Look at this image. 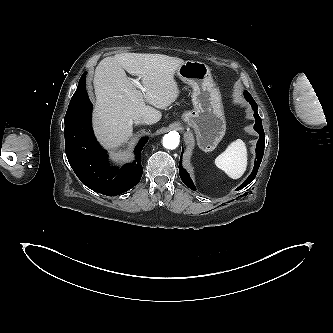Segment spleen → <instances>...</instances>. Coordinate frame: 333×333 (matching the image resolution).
<instances>
[{
	"mask_svg": "<svg viewBox=\"0 0 333 333\" xmlns=\"http://www.w3.org/2000/svg\"><path fill=\"white\" fill-rule=\"evenodd\" d=\"M215 164L230 178H240L247 167V149L245 143L241 139L230 143L226 149L216 157Z\"/></svg>",
	"mask_w": 333,
	"mask_h": 333,
	"instance_id": "3e777b00",
	"label": "spleen"
}]
</instances>
